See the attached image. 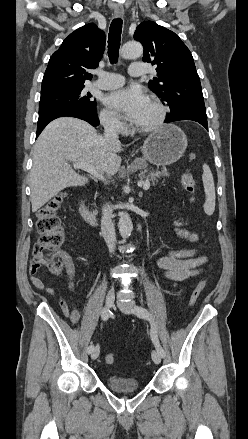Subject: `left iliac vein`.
<instances>
[{"label": "left iliac vein", "mask_w": 248, "mask_h": 439, "mask_svg": "<svg viewBox=\"0 0 248 439\" xmlns=\"http://www.w3.org/2000/svg\"><path fill=\"white\" fill-rule=\"evenodd\" d=\"M135 303L134 302H118V307L120 308V310H122L125 313L131 314L134 313L133 309L135 307ZM152 360L155 364H160L161 362V355L159 354V352L157 350H153L152 351Z\"/></svg>", "instance_id": "left-iliac-vein-1"}]
</instances>
